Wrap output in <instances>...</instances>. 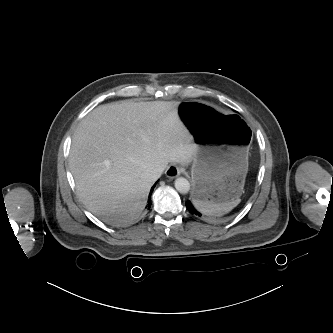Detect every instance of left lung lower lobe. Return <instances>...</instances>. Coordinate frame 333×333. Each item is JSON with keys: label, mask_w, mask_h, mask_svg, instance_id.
Wrapping results in <instances>:
<instances>
[{"label": "left lung lower lobe", "mask_w": 333, "mask_h": 333, "mask_svg": "<svg viewBox=\"0 0 333 333\" xmlns=\"http://www.w3.org/2000/svg\"><path fill=\"white\" fill-rule=\"evenodd\" d=\"M186 207H187L188 211H189L191 214H195V215H197V216H201V214H200L198 211H196V209L193 207V205L191 204L190 201H187V202H186Z\"/></svg>", "instance_id": "obj_1"}]
</instances>
